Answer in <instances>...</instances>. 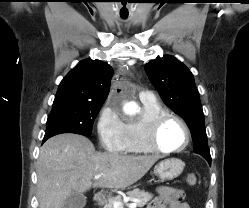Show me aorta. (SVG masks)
Returning a JSON list of instances; mask_svg holds the SVG:
<instances>
[{
    "label": "aorta",
    "instance_id": "aorta-1",
    "mask_svg": "<svg viewBox=\"0 0 249 208\" xmlns=\"http://www.w3.org/2000/svg\"><path fill=\"white\" fill-rule=\"evenodd\" d=\"M124 109L127 113H131L137 109V105L134 102H130L125 105Z\"/></svg>",
    "mask_w": 249,
    "mask_h": 208
}]
</instances>
